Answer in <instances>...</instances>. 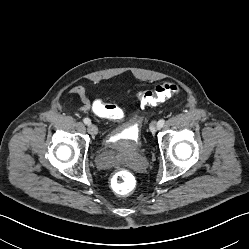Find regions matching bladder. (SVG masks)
<instances>
[{"mask_svg":"<svg viewBox=\"0 0 249 249\" xmlns=\"http://www.w3.org/2000/svg\"><path fill=\"white\" fill-rule=\"evenodd\" d=\"M104 145L107 159L100 164L102 168L112 165L118 155L138 154L143 151L139 131L129 124L123 125L119 130L108 135Z\"/></svg>","mask_w":249,"mask_h":249,"instance_id":"obj_1","label":"bladder"}]
</instances>
